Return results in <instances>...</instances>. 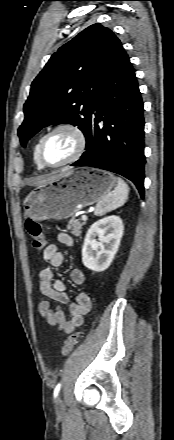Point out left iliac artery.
<instances>
[{"mask_svg": "<svg viewBox=\"0 0 174 440\" xmlns=\"http://www.w3.org/2000/svg\"><path fill=\"white\" fill-rule=\"evenodd\" d=\"M60 388H61V384L58 383L54 389V398H56L58 396Z\"/></svg>", "mask_w": 174, "mask_h": 440, "instance_id": "obj_1", "label": "left iliac artery"}]
</instances>
